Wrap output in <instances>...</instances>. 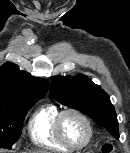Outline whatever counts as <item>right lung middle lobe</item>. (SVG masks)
<instances>
[{
	"instance_id": "obj_1",
	"label": "right lung middle lobe",
	"mask_w": 130,
	"mask_h": 153,
	"mask_svg": "<svg viewBox=\"0 0 130 153\" xmlns=\"http://www.w3.org/2000/svg\"><path fill=\"white\" fill-rule=\"evenodd\" d=\"M35 102L17 108L0 107V148L11 149L21 135L22 123Z\"/></svg>"
}]
</instances>
